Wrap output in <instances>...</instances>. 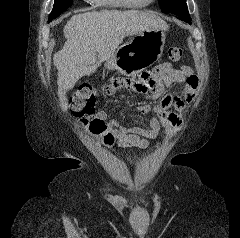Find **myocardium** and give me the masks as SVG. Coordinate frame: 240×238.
<instances>
[{
	"label": "myocardium",
	"mask_w": 240,
	"mask_h": 238,
	"mask_svg": "<svg viewBox=\"0 0 240 238\" xmlns=\"http://www.w3.org/2000/svg\"><path fill=\"white\" fill-rule=\"evenodd\" d=\"M155 0H148L145 2L141 1H131V0H120V2L125 6V7H143V6H148L152 4Z\"/></svg>",
	"instance_id": "1"
}]
</instances>
